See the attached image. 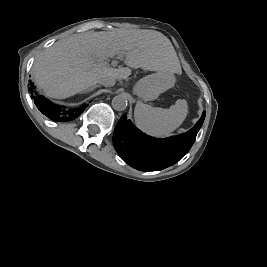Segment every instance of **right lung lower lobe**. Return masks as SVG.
<instances>
[{
    "label": "right lung lower lobe",
    "mask_w": 267,
    "mask_h": 267,
    "mask_svg": "<svg viewBox=\"0 0 267 267\" xmlns=\"http://www.w3.org/2000/svg\"><path fill=\"white\" fill-rule=\"evenodd\" d=\"M30 86L32 99H34L35 105L44 115H46L51 120L58 122L73 120L81 115L86 106H88L84 104L83 106L76 109H65L64 107L53 104L41 95H36L33 83H31Z\"/></svg>",
    "instance_id": "98d812e1"
}]
</instances>
